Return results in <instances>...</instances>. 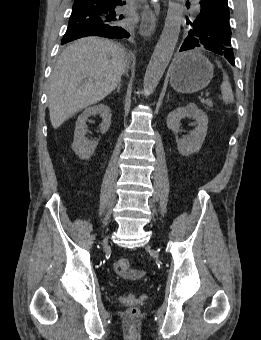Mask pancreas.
<instances>
[{
    "label": "pancreas",
    "mask_w": 261,
    "mask_h": 340,
    "mask_svg": "<svg viewBox=\"0 0 261 340\" xmlns=\"http://www.w3.org/2000/svg\"><path fill=\"white\" fill-rule=\"evenodd\" d=\"M204 104L207 105V108H212L213 107V103L210 99H207L204 101Z\"/></svg>",
    "instance_id": "pancreas-1"
}]
</instances>
